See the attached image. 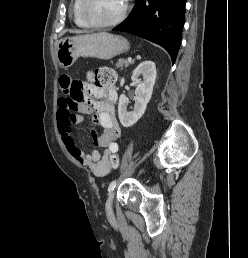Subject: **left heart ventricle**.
I'll return each instance as SVG.
<instances>
[{
  "instance_id": "b2bd125f",
  "label": "left heart ventricle",
  "mask_w": 248,
  "mask_h": 258,
  "mask_svg": "<svg viewBox=\"0 0 248 258\" xmlns=\"http://www.w3.org/2000/svg\"><path fill=\"white\" fill-rule=\"evenodd\" d=\"M124 0H86L85 11L95 22H106L120 13Z\"/></svg>"
}]
</instances>
